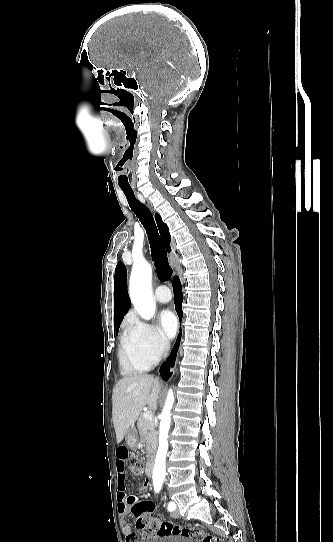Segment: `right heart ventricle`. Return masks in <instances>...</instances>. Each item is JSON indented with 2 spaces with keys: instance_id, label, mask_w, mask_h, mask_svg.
Wrapping results in <instances>:
<instances>
[{
  "instance_id": "obj_1",
  "label": "right heart ventricle",
  "mask_w": 333,
  "mask_h": 542,
  "mask_svg": "<svg viewBox=\"0 0 333 542\" xmlns=\"http://www.w3.org/2000/svg\"><path fill=\"white\" fill-rule=\"evenodd\" d=\"M132 324L133 320L127 321L126 332L120 342L121 366L125 373H142L151 369L157 358L146 352L129 336Z\"/></svg>"
}]
</instances>
